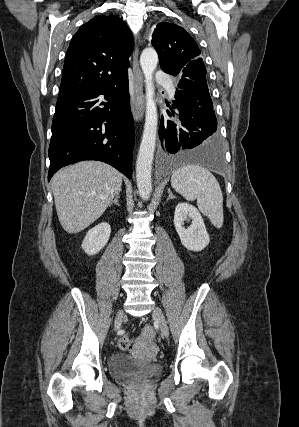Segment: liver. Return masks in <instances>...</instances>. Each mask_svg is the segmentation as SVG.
Wrapping results in <instances>:
<instances>
[{
  "instance_id": "obj_1",
  "label": "liver",
  "mask_w": 299,
  "mask_h": 427,
  "mask_svg": "<svg viewBox=\"0 0 299 427\" xmlns=\"http://www.w3.org/2000/svg\"><path fill=\"white\" fill-rule=\"evenodd\" d=\"M122 174L98 161H82L59 170L52 189L60 224L77 233L96 221L121 191Z\"/></svg>"
}]
</instances>
